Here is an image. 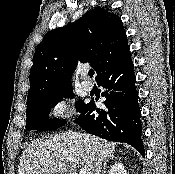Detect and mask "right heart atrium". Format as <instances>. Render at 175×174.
I'll return each mask as SVG.
<instances>
[{"mask_svg":"<svg viewBox=\"0 0 175 174\" xmlns=\"http://www.w3.org/2000/svg\"><path fill=\"white\" fill-rule=\"evenodd\" d=\"M69 113V104L65 100H58L52 106L53 117L60 119L64 118Z\"/></svg>","mask_w":175,"mask_h":174,"instance_id":"d8ad5b80","label":"right heart atrium"}]
</instances>
